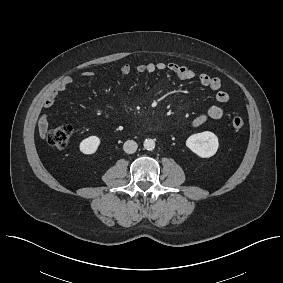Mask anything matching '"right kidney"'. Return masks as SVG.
I'll use <instances>...</instances> for the list:
<instances>
[{"mask_svg":"<svg viewBox=\"0 0 283 283\" xmlns=\"http://www.w3.org/2000/svg\"><path fill=\"white\" fill-rule=\"evenodd\" d=\"M100 138L97 136H89L81 141L79 145V149L83 154H94L99 145H100Z\"/></svg>","mask_w":283,"mask_h":283,"instance_id":"right-kidney-1","label":"right kidney"}]
</instances>
